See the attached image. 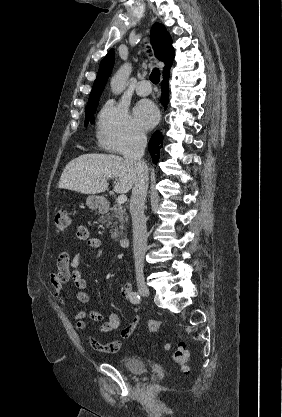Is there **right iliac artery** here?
<instances>
[{
	"label": "right iliac artery",
	"instance_id": "obj_1",
	"mask_svg": "<svg viewBox=\"0 0 282 417\" xmlns=\"http://www.w3.org/2000/svg\"><path fill=\"white\" fill-rule=\"evenodd\" d=\"M130 301L133 304H139L141 301V297L137 292H132L130 295Z\"/></svg>",
	"mask_w": 282,
	"mask_h": 417
}]
</instances>
